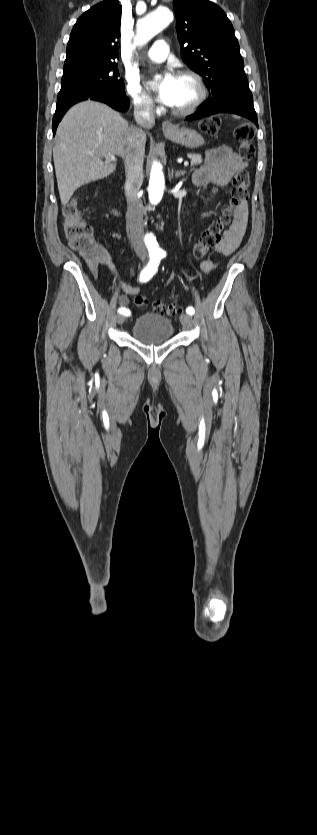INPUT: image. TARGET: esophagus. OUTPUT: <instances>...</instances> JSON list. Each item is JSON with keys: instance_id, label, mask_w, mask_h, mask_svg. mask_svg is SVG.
Returning a JSON list of instances; mask_svg holds the SVG:
<instances>
[{"instance_id": "obj_1", "label": "esophagus", "mask_w": 317, "mask_h": 835, "mask_svg": "<svg viewBox=\"0 0 317 835\" xmlns=\"http://www.w3.org/2000/svg\"><path fill=\"white\" fill-rule=\"evenodd\" d=\"M162 130L165 133H170V132L175 131L176 127L174 126V124L171 121L165 120L162 123Z\"/></svg>"}]
</instances>
